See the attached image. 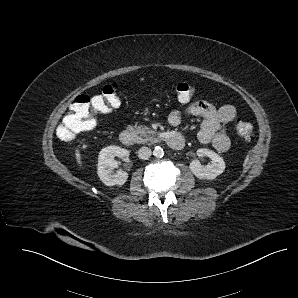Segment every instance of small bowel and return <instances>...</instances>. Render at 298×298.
<instances>
[{
  "label": "small bowel",
  "instance_id": "obj_1",
  "mask_svg": "<svg viewBox=\"0 0 298 298\" xmlns=\"http://www.w3.org/2000/svg\"><path fill=\"white\" fill-rule=\"evenodd\" d=\"M184 114L202 118L198 133V140L202 144H211L220 152L230 148L231 140L227 134V125L236 117V109L232 105L216 108L206 101H195L182 109L173 110L168 116L169 124L179 126Z\"/></svg>",
  "mask_w": 298,
  "mask_h": 298
}]
</instances>
